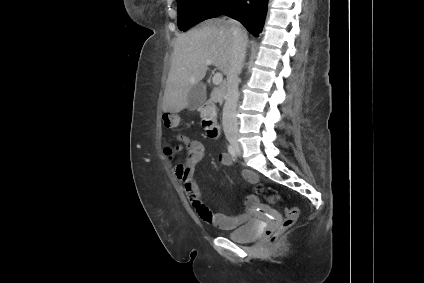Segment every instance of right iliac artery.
<instances>
[{
  "label": "right iliac artery",
  "instance_id": "82829eb1",
  "mask_svg": "<svg viewBox=\"0 0 424 283\" xmlns=\"http://www.w3.org/2000/svg\"><path fill=\"white\" fill-rule=\"evenodd\" d=\"M228 152L232 155V157H235V149L231 145H228Z\"/></svg>",
  "mask_w": 424,
  "mask_h": 283
}]
</instances>
